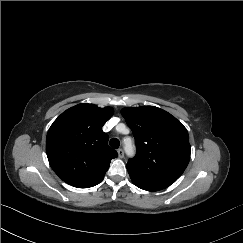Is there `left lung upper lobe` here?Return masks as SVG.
<instances>
[{
  "label": "left lung upper lobe",
  "mask_w": 243,
  "mask_h": 243,
  "mask_svg": "<svg viewBox=\"0 0 243 243\" xmlns=\"http://www.w3.org/2000/svg\"><path fill=\"white\" fill-rule=\"evenodd\" d=\"M121 114L137 147L136 156L126 165L132 182L179 178L189 163L191 150L183 124L154 106L127 107Z\"/></svg>",
  "instance_id": "1"
}]
</instances>
